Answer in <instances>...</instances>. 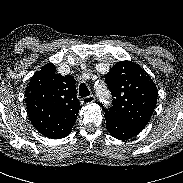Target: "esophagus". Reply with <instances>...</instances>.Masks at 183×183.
Listing matches in <instances>:
<instances>
[{"instance_id":"obj_1","label":"esophagus","mask_w":183,"mask_h":183,"mask_svg":"<svg viewBox=\"0 0 183 183\" xmlns=\"http://www.w3.org/2000/svg\"><path fill=\"white\" fill-rule=\"evenodd\" d=\"M94 101H95V96L94 95H89V96H86L82 99L83 104H90Z\"/></svg>"}]
</instances>
